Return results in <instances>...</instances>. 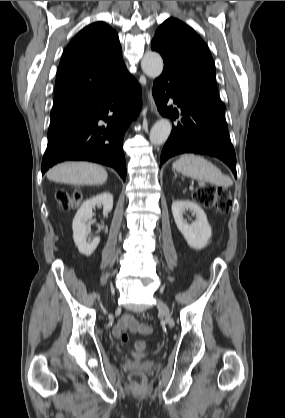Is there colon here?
<instances>
[{
  "label": "colon",
  "mask_w": 285,
  "mask_h": 418,
  "mask_svg": "<svg viewBox=\"0 0 285 418\" xmlns=\"http://www.w3.org/2000/svg\"><path fill=\"white\" fill-rule=\"evenodd\" d=\"M194 200L206 208L216 209L219 212H227L231 206V196L227 189L208 185L204 188L197 189L193 194ZM61 209L68 211L74 209L81 198V194L77 191L67 192L65 190H58L56 192ZM119 339L122 342H127L129 336L126 332H121ZM137 351L144 352L148 345L144 341L137 342L135 345ZM132 384L137 388H143L146 385L145 377L140 373H133L130 375Z\"/></svg>",
  "instance_id": "colon-1"
}]
</instances>
